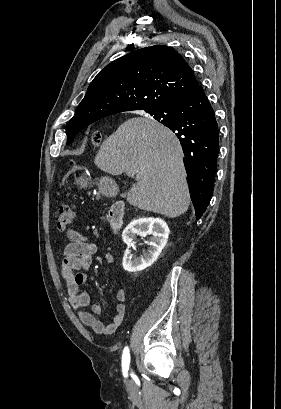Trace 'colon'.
<instances>
[{"mask_svg":"<svg viewBox=\"0 0 281 409\" xmlns=\"http://www.w3.org/2000/svg\"><path fill=\"white\" fill-rule=\"evenodd\" d=\"M104 141V136L101 132L96 131L92 136L93 145H101ZM74 165V162H71ZM55 219L60 230L69 228L75 221V211L69 205H59L56 209Z\"/></svg>","mask_w":281,"mask_h":409,"instance_id":"1","label":"colon"}]
</instances>
